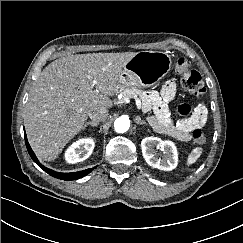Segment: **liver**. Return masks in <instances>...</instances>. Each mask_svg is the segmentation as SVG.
I'll return each mask as SVG.
<instances>
[{
    "instance_id": "6515ba94",
    "label": "liver",
    "mask_w": 243,
    "mask_h": 243,
    "mask_svg": "<svg viewBox=\"0 0 243 243\" xmlns=\"http://www.w3.org/2000/svg\"><path fill=\"white\" fill-rule=\"evenodd\" d=\"M134 52L68 55L51 62L34 82L25 128L38 157L51 161L84 127L89 112L111 108L119 76Z\"/></svg>"
}]
</instances>
